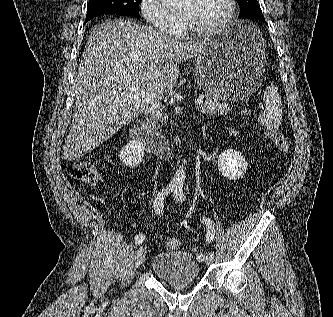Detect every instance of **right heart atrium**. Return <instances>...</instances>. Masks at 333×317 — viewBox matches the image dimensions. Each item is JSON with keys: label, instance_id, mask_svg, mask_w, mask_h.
<instances>
[{"label": "right heart atrium", "instance_id": "d8ad5b80", "mask_svg": "<svg viewBox=\"0 0 333 317\" xmlns=\"http://www.w3.org/2000/svg\"><path fill=\"white\" fill-rule=\"evenodd\" d=\"M140 12L150 26L164 34L177 35L182 29L180 20L169 13L159 0H141Z\"/></svg>", "mask_w": 333, "mask_h": 317}]
</instances>
